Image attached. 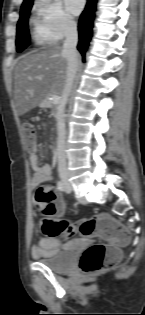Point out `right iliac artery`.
Returning a JSON list of instances; mask_svg holds the SVG:
<instances>
[{
    "label": "right iliac artery",
    "instance_id": "right-iliac-artery-1",
    "mask_svg": "<svg viewBox=\"0 0 145 315\" xmlns=\"http://www.w3.org/2000/svg\"><path fill=\"white\" fill-rule=\"evenodd\" d=\"M57 188L60 190V191H65V185L62 181H58L57 182Z\"/></svg>",
    "mask_w": 145,
    "mask_h": 315
}]
</instances>
